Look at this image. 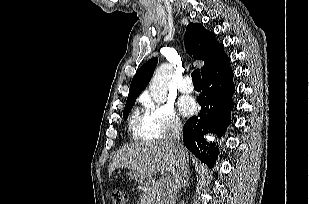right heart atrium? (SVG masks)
<instances>
[{
	"instance_id": "1",
	"label": "right heart atrium",
	"mask_w": 309,
	"mask_h": 204,
	"mask_svg": "<svg viewBox=\"0 0 309 204\" xmlns=\"http://www.w3.org/2000/svg\"><path fill=\"white\" fill-rule=\"evenodd\" d=\"M145 121L143 135L145 138H164L181 130L182 120L171 102H155L143 99Z\"/></svg>"
}]
</instances>
